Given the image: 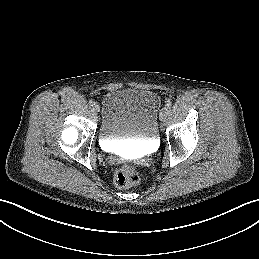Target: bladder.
Masks as SVG:
<instances>
[{"instance_id": "bladder-1", "label": "bladder", "mask_w": 259, "mask_h": 259, "mask_svg": "<svg viewBox=\"0 0 259 259\" xmlns=\"http://www.w3.org/2000/svg\"><path fill=\"white\" fill-rule=\"evenodd\" d=\"M159 96L151 90L124 88L108 92L102 100L99 138L138 146L153 143L158 135Z\"/></svg>"}]
</instances>
